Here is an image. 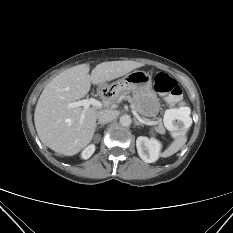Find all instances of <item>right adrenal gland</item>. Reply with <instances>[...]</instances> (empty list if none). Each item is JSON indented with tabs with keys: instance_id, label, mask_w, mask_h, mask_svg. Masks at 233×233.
I'll return each instance as SVG.
<instances>
[{
	"instance_id": "right-adrenal-gland-1",
	"label": "right adrenal gland",
	"mask_w": 233,
	"mask_h": 233,
	"mask_svg": "<svg viewBox=\"0 0 233 233\" xmlns=\"http://www.w3.org/2000/svg\"><path fill=\"white\" fill-rule=\"evenodd\" d=\"M98 125H101L100 127H98ZM105 124L104 123H97V125H96V130H98L99 128H102L103 126H104Z\"/></svg>"
}]
</instances>
